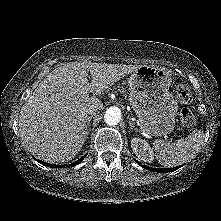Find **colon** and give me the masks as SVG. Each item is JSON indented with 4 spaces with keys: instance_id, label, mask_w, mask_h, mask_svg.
<instances>
[{
    "instance_id": "colon-1",
    "label": "colon",
    "mask_w": 221,
    "mask_h": 221,
    "mask_svg": "<svg viewBox=\"0 0 221 221\" xmlns=\"http://www.w3.org/2000/svg\"><path fill=\"white\" fill-rule=\"evenodd\" d=\"M175 95L177 99L183 103L188 104L192 101V94L189 87L184 83H179L175 87ZM181 122L186 127H194L196 124L195 115L188 108H184L180 114Z\"/></svg>"
}]
</instances>
